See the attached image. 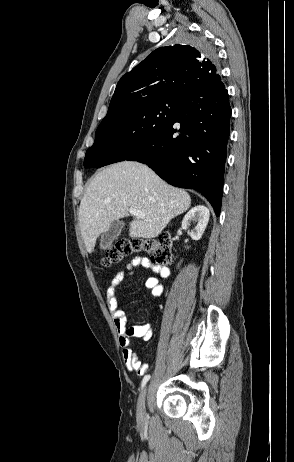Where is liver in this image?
Here are the masks:
<instances>
[{"label":"liver","instance_id":"obj_1","mask_svg":"<svg viewBox=\"0 0 294 462\" xmlns=\"http://www.w3.org/2000/svg\"><path fill=\"white\" fill-rule=\"evenodd\" d=\"M191 205L190 195L163 181L148 166L123 161L108 166L92 179L79 208L81 234L88 253L98 236L115 220L136 208L145 214L130 222L132 238L157 237L176 216Z\"/></svg>","mask_w":294,"mask_h":462}]
</instances>
